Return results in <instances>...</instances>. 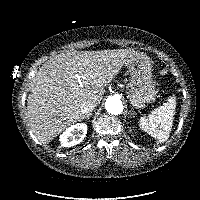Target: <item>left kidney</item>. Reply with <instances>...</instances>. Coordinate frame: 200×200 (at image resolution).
<instances>
[{"instance_id": "5707ae66", "label": "left kidney", "mask_w": 200, "mask_h": 200, "mask_svg": "<svg viewBox=\"0 0 200 200\" xmlns=\"http://www.w3.org/2000/svg\"><path fill=\"white\" fill-rule=\"evenodd\" d=\"M129 132H130V133H133L132 127H129Z\"/></svg>"}]
</instances>
